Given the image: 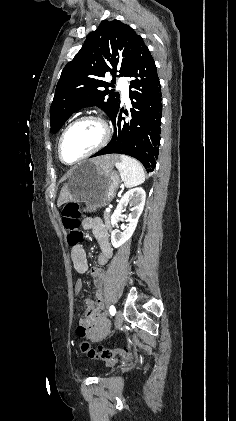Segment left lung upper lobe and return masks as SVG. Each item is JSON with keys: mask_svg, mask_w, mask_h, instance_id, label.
<instances>
[{"mask_svg": "<svg viewBox=\"0 0 236 421\" xmlns=\"http://www.w3.org/2000/svg\"><path fill=\"white\" fill-rule=\"evenodd\" d=\"M141 36L119 20H104L89 33L80 51L64 67L50 108V131L56 133L77 110L98 106L112 119L120 105V96L108 90L113 83L105 74L126 76L139 47Z\"/></svg>", "mask_w": 236, "mask_h": 421, "instance_id": "5c2ea615", "label": "left lung upper lobe"}]
</instances>
